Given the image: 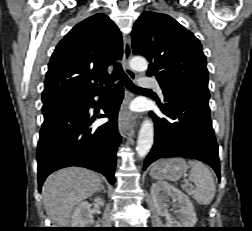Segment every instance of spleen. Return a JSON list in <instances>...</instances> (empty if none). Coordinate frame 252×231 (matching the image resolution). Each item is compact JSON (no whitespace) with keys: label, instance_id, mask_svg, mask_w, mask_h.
<instances>
[{"label":"spleen","instance_id":"3e777b00","mask_svg":"<svg viewBox=\"0 0 252 231\" xmlns=\"http://www.w3.org/2000/svg\"><path fill=\"white\" fill-rule=\"evenodd\" d=\"M191 171L189 179L194 182L195 188L190 191L198 204L208 205L215 196L216 185L209 168L203 163L190 160Z\"/></svg>","mask_w":252,"mask_h":231}]
</instances>
